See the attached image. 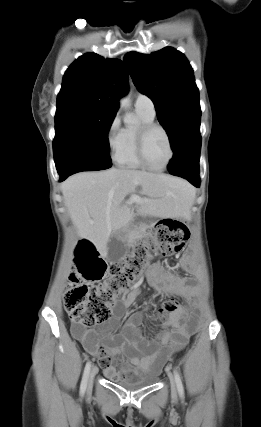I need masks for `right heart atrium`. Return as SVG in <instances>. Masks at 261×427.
Here are the masks:
<instances>
[{"label":"right heart atrium","instance_id":"obj_1","mask_svg":"<svg viewBox=\"0 0 261 427\" xmlns=\"http://www.w3.org/2000/svg\"><path fill=\"white\" fill-rule=\"evenodd\" d=\"M122 128L120 119L115 115L110 121L106 130V143L109 150L114 154L117 153L121 144Z\"/></svg>","mask_w":261,"mask_h":427}]
</instances>
